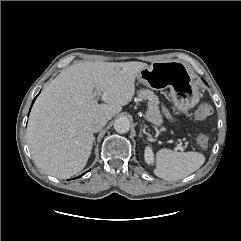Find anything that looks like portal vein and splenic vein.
<instances>
[{
	"mask_svg": "<svg viewBox=\"0 0 241 241\" xmlns=\"http://www.w3.org/2000/svg\"><path fill=\"white\" fill-rule=\"evenodd\" d=\"M175 149L176 150H183V147L181 145H178Z\"/></svg>",
	"mask_w": 241,
	"mask_h": 241,
	"instance_id": "portal-vein-and-splenic-vein-1",
	"label": "portal vein and splenic vein"
}]
</instances>
